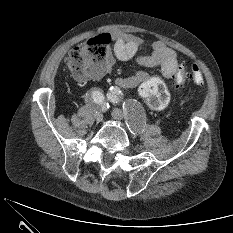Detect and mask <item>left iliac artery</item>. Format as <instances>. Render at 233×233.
I'll return each mask as SVG.
<instances>
[{
	"label": "left iliac artery",
	"instance_id": "obj_1",
	"mask_svg": "<svg viewBox=\"0 0 233 233\" xmlns=\"http://www.w3.org/2000/svg\"><path fill=\"white\" fill-rule=\"evenodd\" d=\"M107 98L112 103H120L123 101V93L118 87H111L110 91L107 93Z\"/></svg>",
	"mask_w": 233,
	"mask_h": 233
}]
</instances>
